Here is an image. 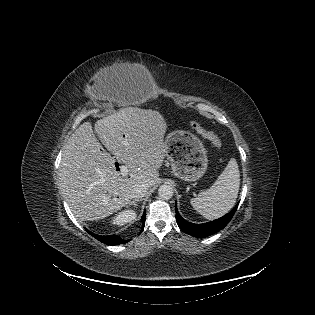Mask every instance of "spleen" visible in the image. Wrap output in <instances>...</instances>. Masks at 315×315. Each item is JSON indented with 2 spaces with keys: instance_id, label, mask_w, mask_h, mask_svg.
Returning a JSON list of instances; mask_svg holds the SVG:
<instances>
[{
  "instance_id": "spleen-1",
  "label": "spleen",
  "mask_w": 315,
  "mask_h": 315,
  "mask_svg": "<svg viewBox=\"0 0 315 315\" xmlns=\"http://www.w3.org/2000/svg\"><path fill=\"white\" fill-rule=\"evenodd\" d=\"M239 187L238 164L236 159L232 158L214 184L191 199V205L208 220L219 218L233 208Z\"/></svg>"
}]
</instances>
